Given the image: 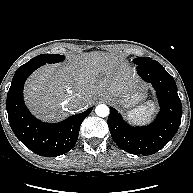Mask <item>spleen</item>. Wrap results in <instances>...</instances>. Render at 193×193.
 <instances>
[{
    "label": "spleen",
    "instance_id": "obj_1",
    "mask_svg": "<svg viewBox=\"0 0 193 193\" xmlns=\"http://www.w3.org/2000/svg\"><path fill=\"white\" fill-rule=\"evenodd\" d=\"M154 110V103L147 102L145 105H141L138 108L130 110L128 112V118L134 123H144L151 117Z\"/></svg>",
    "mask_w": 193,
    "mask_h": 193
}]
</instances>
